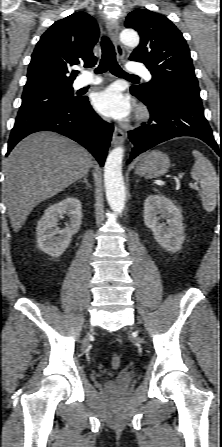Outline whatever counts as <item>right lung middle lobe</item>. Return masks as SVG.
I'll use <instances>...</instances> for the list:
<instances>
[{
	"label": "right lung middle lobe",
	"mask_w": 222,
	"mask_h": 447,
	"mask_svg": "<svg viewBox=\"0 0 222 447\" xmlns=\"http://www.w3.org/2000/svg\"><path fill=\"white\" fill-rule=\"evenodd\" d=\"M71 86L24 92L17 117H24L77 101Z\"/></svg>",
	"instance_id": "obj_1"
}]
</instances>
